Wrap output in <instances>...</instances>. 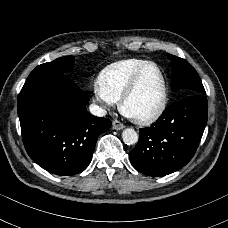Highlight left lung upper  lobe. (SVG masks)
<instances>
[{
    "label": "left lung upper lobe",
    "instance_id": "obj_1",
    "mask_svg": "<svg viewBox=\"0 0 228 228\" xmlns=\"http://www.w3.org/2000/svg\"><path fill=\"white\" fill-rule=\"evenodd\" d=\"M172 62L171 89L188 90L189 95H206L202 81L196 70L184 59L167 53Z\"/></svg>",
    "mask_w": 228,
    "mask_h": 228
}]
</instances>
